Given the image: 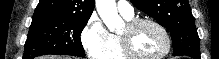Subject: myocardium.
Returning <instances> with one entry per match:
<instances>
[{
  "mask_svg": "<svg viewBox=\"0 0 219 59\" xmlns=\"http://www.w3.org/2000/svg\"><path fill=\"white\" fill-rule=\"evenodd\" d=\"M142 24H151L155 26L162 33L166 41V46H165L164 51L155 56H141L137 54L132 48L131 40L128 35L126 36L119 35L118 39H119L121 50L124 56L127 59H163L167 57L172 49V38L167 28L162 23L152 18L131 19L126 23V26L128 30L131 32Z\"/></svg>",
  "mask_w": 219,
  "mask_h": 59,
  "instance_id": "obj_1",
  "label": "myocardium"
}]
</instances>
